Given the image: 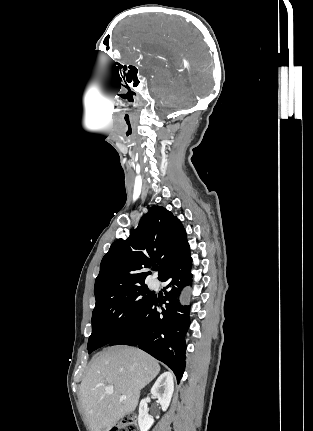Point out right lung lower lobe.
Masks as SVG:
<instances>
[{
	"label": "right lung lower lobe",
	"mask_w": 313,
	"mask_h": 431,
	"mask_svg": "<svg viewBox=\"0 0 313 431\" xmlns=\"http://www.w3.org/2000/svg\"><path fill=\"white\" fill-rule=\"evenodd\" d=\"M192 258L189 244L169 271L160 279L168 285L163 303L154 297L137 320L109 343L138 346L165 363L178 382L185 369V335L190 325V306L185 304L186 287L192 285Z\"/></svg>",
	"instance_id": "1"
}]
</instances>
